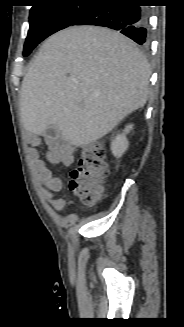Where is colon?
Returning a JSON list of instances; mask_svg holds the SVG:
<instances>
[{"instance_id":"5ec220e1","label":"colon","mask_w":184,"mask_h":327,"mask_svg":"<svg viewBox=\"0 0 184 327\" xmlns=\"http://www.w3.org/2000/svg\"><path fill=\"white\" fill-rule=\"evenodd\" d=\"M108 173L102 145L92 143L85 147L77 168L71 172L69 189L82 203H93L101 198Z\"/></svg>"}]
</instances>
